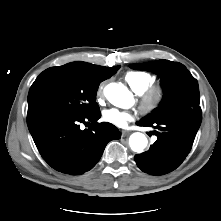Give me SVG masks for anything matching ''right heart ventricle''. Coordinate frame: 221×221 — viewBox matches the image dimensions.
I'll return each mask as SVG.
<instances>
[{"mask_svg":"<svg viewBox=\"0 0 221 221\" xmlns=\"http://www.w3.org/2000/svg\"><path fill=\"white\" fill-rule=\"evenodd\" d=\"M124 79L137 94L144 92L155 81V77L145 71H129L125 74Z\"/></svg>","mask_w":221,"mask_h":221,"instance_id":"1","label":"right heart ventricle"}]
</instances>
